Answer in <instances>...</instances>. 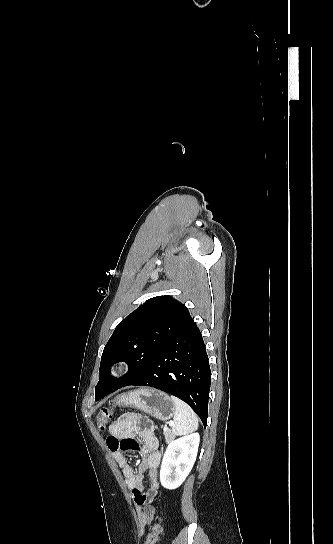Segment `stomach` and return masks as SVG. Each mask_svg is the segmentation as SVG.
Wrapping results in <instances>:
<instances>
[{
    "instance_id": "obj_1",
    "label": "stomach",
    "mask_w": 333,
    "mask_h": 544,
    "mask_svg": "<svg viewBox=\"0 0 333 544\" xmlns=\"http://www.w3.org/2000/svg\"><path fill=\"white\" fill-rule=\"evenodd\" d=\"M114 402L119 406L141 410L162 421L170 420L175 412V405L168 394L150 388L121 394Z\"/></svg>"
}]
</instances>
